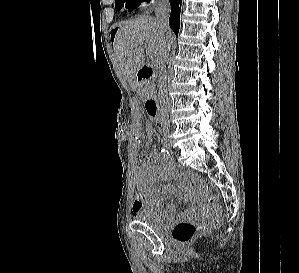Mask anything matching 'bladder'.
<instances>
[{
  "label": "bladder",
  "mask_w": 299,
  "mask_h": 273,
  "mask_svg": "<svg viewBox=\"0 0 299 273\" xmlns=\"http://www.w3.org/2000/svg\"><path fill=\"white\" fill-rule=\"evenodd\" d=\"M137 219L139 222L151 228L155 232H163L173 219V216L164 218L145 210L139 213Z\"/></svg>",
  "instance_id": "bladder-1"
}]
</instances>
